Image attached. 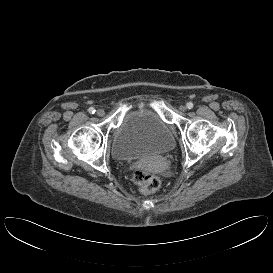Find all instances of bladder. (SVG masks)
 I'll list each match as a JSON object with an SVG mask.
<instances>
[{
  "mask_svg": "<svg viewBox=\"0 0 273 273\" xmlns=\"http://www.w3.org/2000/svg\"><path fill=\"white\" fill-rule=\"evenodd\" d=\"M175 138L170 127L148 110L128 112L111 137V154L117 161H139L171 152Z\"/></svg>",
  "mask_w": 273,
  "mask_h": 273,
  "instance_id": "obj_1",
  "label": "bladder"
}]
</instances>
